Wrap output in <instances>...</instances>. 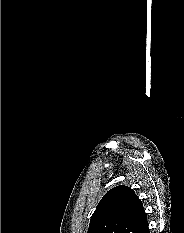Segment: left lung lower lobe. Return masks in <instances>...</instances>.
<instances>
[{"label":"left lung lower lobe","instance_id":"1","mask_svg":"<svg viewBox=\"0 0 184 233\" xmlns=\"http://www.w3.org/2000/svg\"><path fill=\"white\" fill-rule=\"evenodd\" d=\"M145 233H150L149 228H147V230L145 231Z\"/></svg>","mask_w":184,"mask_h":233}]
</instances>
